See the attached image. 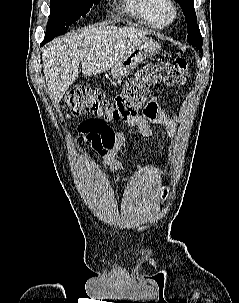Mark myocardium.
I'll return each mask as SVG.
<instances>
[{
  "mask_svg": "<svg viewBox=\"0 0 239 303\" xmlns=\"http://www.w3.org/2000/svg\"><path fill=\"white\" fill-rule=\"evenodd\" d=\"M170 15H171V17H176V15H177V10L174 6L170 7Z\"/></svg>",
  "mask_w": 239,
  "mask_h": 303,
  "instance_id": "f54148a6",
  "label": "myocardium"
}]
</instances>
